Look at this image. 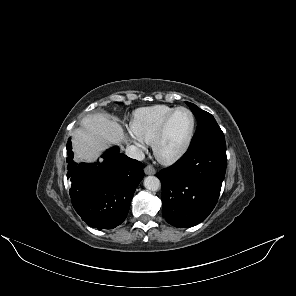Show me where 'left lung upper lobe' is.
<instances>
[{
  "label": "left lung upper lobe",
  "mask_w": 296,
  "mask_h": 296,
  "mask_svg": "<svg viewBox=\"0 0 296 296\" xmlns=\"http://www.w3.org/2000/svg\"><path fill=\"white\" fill-rule=\"evenodd\" d=\"M186 103L194 113L198 122L197 130L193 136L189 149L196 148L205 143L225 140L222 130L210 113L200 109L190 102Z\"/></svg>",
  "instance_id": "obj_1"
}]
</instances>
